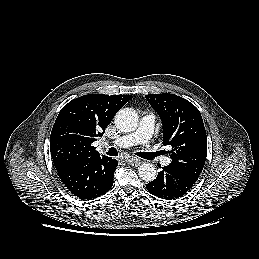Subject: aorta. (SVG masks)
Listing matches in <instances>:
<instances>
[{
    "label": "aorta",
    "mask_w": 259,
    "mask_h": 259,
    "mask_svg": "<svg viewBox=\"0 0 259 259\" xmlns=\"http://www.w3.org/2000/svg\"><path fill=\"white\" fill-rule=\"evenodd\" d=\"M114 122L119 131L132 132L137 128L138 115L131 108H123L115 115ZM138 175L142 180L151 182L157 177L156 167L152 163H143L138 168Z\"/></svg>",
    "instance_id": "obj_1"
}]
</instances>
